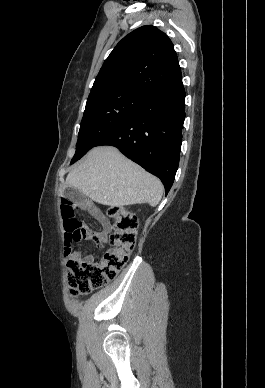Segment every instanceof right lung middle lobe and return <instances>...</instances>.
I'll use <instances>...</instances> for the list:
<instances>
[{
  "instance_id": "1",
  "label": "right lung middle lobe",
  "mask_w": 265,
  "mask_h": 388,
  "mask_svg": "<svg viewBox=\"0 0 265 388\" xmlns=\"http://www.w3.org/2000/svg\"><path fill=\"white\" fill-rule=\"evenodd\" d=\"M145 97L124 91H99L89 95L71 164L132 115Z\"/></svg>"
}]
</instances>
